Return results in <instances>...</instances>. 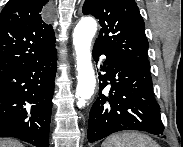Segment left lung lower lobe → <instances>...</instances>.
<instances>
[{
    "label": "left lung lower lobe",
    "mask_w": 183,
    "mask_h": 147,
    "mask_svg": "<svg viewBox=\"0 0 183 147\" xmlns=\"http://www.w3.org/2000/svg\"><path fill=\"white\" fill-rule=\"evenodd\" d=\"M101 54L106 55V62L102 66L106 74H99V81L102 82L99 83V97L89 115L88 141L92 143L122 130L161 135L164 125L160 107L154 98L150 71L94 46L95 61ZM108 80L111 88L109 95L104 96L102 90L109 84Z\"/></svg>",
    "instance_id": "left-lung-lower-lobe-1"
}]
</instances>
